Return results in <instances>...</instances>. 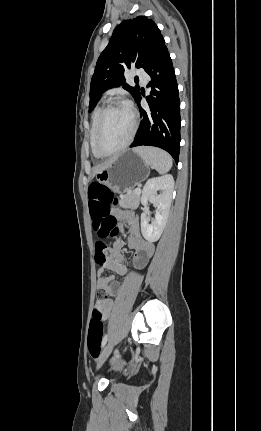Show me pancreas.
Instances as JSON below:
<instances>
[{"label": "pancreas", "instance_id": "cf45deb5", "mask_svg": "<svg viewBox=\"0 0 261 431\" xmlns=\"http://www.w3.org/2000/svg\"><path fill=\"white\" fill-rule=\"evenodd\" d=\"M140 203V193H136L135 190L129 191L124 195L120 196L119 204L125 209H136Z\"/></svg>", "mask_w": 261, "mask_h": 431}]
</instances>
